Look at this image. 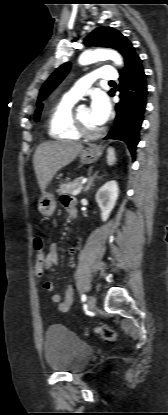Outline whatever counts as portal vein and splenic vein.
Instances as JSON below:
<instances>
[{
  "label": "portal vein and splenic vein",
  "mask_w": 168,
  "mask_h": 415,
  "mask_svg": "<svg viewBox=\"0 0 168 415\" xmlns=\"http://www.w3.org/2000/svg\"><path fill=\"white\" fill-rule=\"evenodd\" d=\"M82 188H83V184H80V186L73 192V195L74 196L78 195L81 192Z\"/></svg>",
  "instance_id": "1"
}]
</instances>
